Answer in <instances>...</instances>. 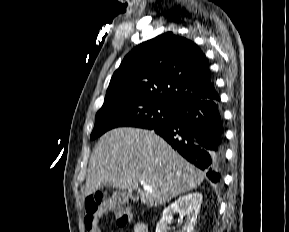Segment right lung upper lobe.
<instances>
[{
    "instance_id": "obj_1",
    "label": "right lung upper lobe",
    "mask_w": 289,
    "mask_h": 232,
    "mask_svg": "<svg viewBox=\"0 0 289 232\" xmlns=\"http://www.w3.org/2000/svg\"><path fill=\"white\" fill-rule=\"evenodd\" d=\"M139 96L178 108L218 97L204 53L167 32L136 46L114 72L106 98Z\"/></svg>"
}]
</instances>
